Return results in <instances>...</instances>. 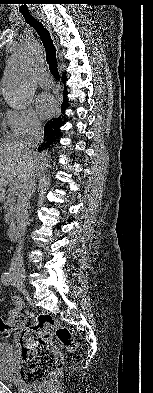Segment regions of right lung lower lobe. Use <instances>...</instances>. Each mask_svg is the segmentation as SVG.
<instances>
[{
	"mask_svg": "<svg viewBox=\"0 0 153 393\" xmlns=\"http://www.w3.org/2000/svg\"><path fill=\"white\" fill-rule=\"evenodd\" d=\"M66 77L64 74L63 83H65ZM67 90L64 88V98L61 104V110L63 114L57 118L51 119L46 125L44 129V142L41 146L38 147V150L41 151L44 147H49L51 144L55 143L57 139L60 137L61 130L60 127L67 121V117L65 115V110L68 108V101L66 98Z\"/></svg>",
	"mask_w": 153,
	"mask_h": 393,
	"instance_id": "obj_1",
	"label": "right lung lower lobe"
}]
</instances>
